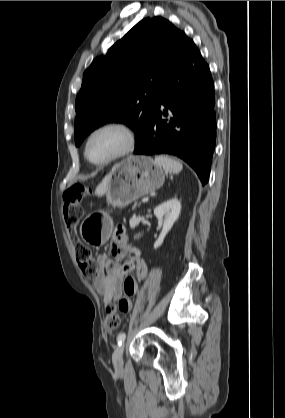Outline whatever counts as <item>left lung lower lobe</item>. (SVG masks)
I'll use <instances>...</instances> for the list:
<instances>
[{"label": "left lung lower lobe", "mask_w": 285, "mask_h": 418, "mask_svg": "<svg viewBox=\"0 0 285 418\" xmlns=\"http://www.w3.org/2000/svg\"><path fill=\"white\" fill-rule=\"evenodd\" d=\"M163 105L165 110H161ZM168 112L169 120L162 119ZM214 82L193 40L182 39L179 54L167 73L143 138L134 154H171L187 162L201 182L209 179L216 143Z\"/></svg>", "instance_id": "obj_1"}]
</instances>
